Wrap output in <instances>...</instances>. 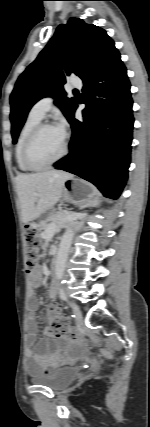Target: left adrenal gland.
<instances>
[{
  "instance_id": "a2214340",
  "label": "left adrenal gland",
  "mask_w": 150,
  "mask_h": 427,
  "mask_svg": "<svg viewBox=\"0 0 150 427\" xmlns=\"http://www.w3.org/2000/svg\"><path fill=\"white\" fill-rule=\"evenodd\" d=\"M92 206H95V204L94 203H92V204H85V205H82L80 207V209H83V208H86V207H92Z\"/></svg>"
}]
</instances>
